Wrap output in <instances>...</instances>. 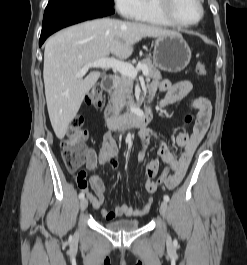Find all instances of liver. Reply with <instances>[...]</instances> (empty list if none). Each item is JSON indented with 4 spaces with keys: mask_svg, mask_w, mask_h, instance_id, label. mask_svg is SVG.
Instances as JSON below:
<instances>
[{
    "mask_svg": "<svg viewBox=\"0 0 247 265\" xmlns=\"http://www.w3.org/2000/svg\"><path fill=\"white\" fill-rule=\"evenodd\" d=\"M174 33L147 24L103 18L73 25L50 37L45 44L43 79L49 118L57 138H64L84 96L99 79V71L77 78L85 65L110 54L127 58L142 38Z\"/></svg>",
    "mask_w": 247,
    "mask_h": 265,
    "instance_id": "liver-1",
    "label": "liver"
}]
</instances>
